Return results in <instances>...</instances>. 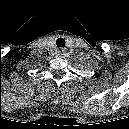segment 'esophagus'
<instances>
[{
	"instance_id": "obj_1",
	"label": "esophagus",
	"mask_w": 129,
	"mask_h": 129,
	"mask_svg": "<svg viewBox=\"0 0 129 129\" xmlns=\"http://www.w3.org/2000/svg\"><path fill=\"white\" fill-rule=\"evenodd\" d=\"M59 53L62 55L64 53V50L63 49L60 50Z\"/></svg>"
}]
</instances>
